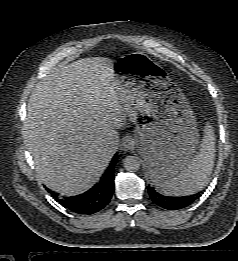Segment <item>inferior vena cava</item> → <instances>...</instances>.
<instances>
[{
    "mask_svg": "<svg viewBox=\"0 0 238 261\" xmlns=\"http://www.w3.org/2000/svg\"><path fill=\"white\" fill-rule=\"evenodd\" d=\"M106 148H107V151H108L109 153H111V154H114V153H115V145H114L113 142L108 143L107 146H106Z\"/></svg>",
    "mask_w": 238,
    "mask_h": 261,
    "instance_id": "obj_1",
    "label": "inferior vena cava"
}]
</instances>
